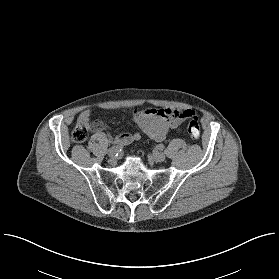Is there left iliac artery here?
Segmentation results:
<instances>
[{
  "label": "left iliac artery",
  "mask_w": 279,
  "mask_h": 279,
  "mask_svg": "<svg viewBox=\"0 0 279 279\" xmlns=\"http://www.w3.org/2000/svg\"><path fill=\"white\" fill-rule=\"evenodd\" d=\"M157 148L162 151L165 148V146L163 144H158Z\"/></svg>",
  "instance_id": "left-iliac-artery-1"
}]
</instances>
